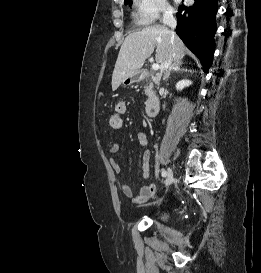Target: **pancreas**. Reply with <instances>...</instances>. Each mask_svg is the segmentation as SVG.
Wrapping results in <instances>:
<instances>
[{"mask_svg": "<svg viewBox=\"0 0 261 273\" xmlns=\"http://www.w3.org/2000/svg\"><path fill=\"white\" fill-rule=\"evenodd\" d=\"M152 88H153V84H152V83H149L148 85H146V86L144 87L145 95H147V96L152 95V94H153Z\"/></svg>", "mask_w": 261, "mask_h": 273, "instance_id": "pancreas-1", "label": "pancreas"}]
</instances>
